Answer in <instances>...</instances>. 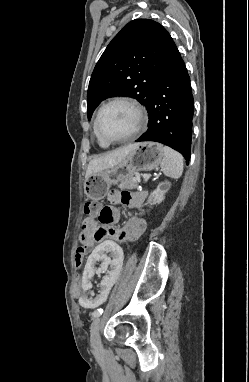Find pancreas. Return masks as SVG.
<instances>
[{
  "label": "pancreas",
  "mask_w": 249,
  "mask_h": 382,
  "mask_svg": "<svg viewBox=\"0 0 249 382\" xmlns=\"http://www.w3.org/2000/svg\"><path fill=\"white\" fill-rule=\"evenodd\" d=\"M138 184H139L138 181L134 180L133 176H128L127 178L121 181L118 187L120 189H137Z\"/></svg>",
  "instance_id": "obj_1"
}]
</instances>
